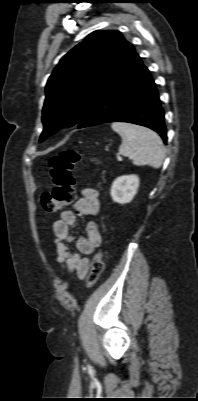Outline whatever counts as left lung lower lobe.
I'll use <instances>...</instances> for the list:
<instances>
[{
  "label": "left lung lower lobe",
  "instance_id": "obj_1",
  "mask_svg": "<svg viewBox=\"0 0 198 401\" xmlns=\"http://www.w3.org/2000/svg\"><path fill=\"white\" fill-rule=\"evenodd\" d=\"M107 122L146 126L167 141L164 111L155 83L135 50L107 81L77 124L85 128Z\"/></svg>",
  "mask_w": 198,
  "mask_h": 401
}]
</instances>
